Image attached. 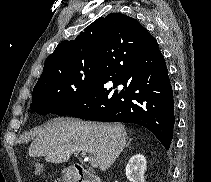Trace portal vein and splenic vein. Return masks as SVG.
<instances>
[{
    "mask_svg": "<svg viewBox=\"0 0 211 182\" xmlns=\"http://www.w3.org/2000/svg\"><path fill=\"white\" fill-rule=\"evenodd\" d=\"M85 154V153H84ZM89 163L93 166V167H98V162L96 160L95 157H90L89 158Z\"/></svg>",
    "mask_w": 211,
    "mask_h": 182,
    "instance_id": "portal-vein-and-splenic-vein-1",
    "label": "portal vein and splenic vein"
}]
</instances>
